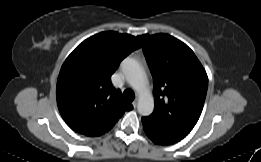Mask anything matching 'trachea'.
<instances>
[{
  "instance_id": "trachea-1",
  "label": "trachea",
  "mask_w": 261,
  "mask_h": 162,
  "mask_svg": "<svg viewBox=\"0 0 261 162\" xmlns=\"http://www.w3.org/2000/svg\"><path fill=\"white\" fill-rule=\"evenodd\" d=\"M123 98L127 102H132L135 98V95H134L133 91H131L130 89H126L123 92Z\"/></svg>"
}]
</instances>
